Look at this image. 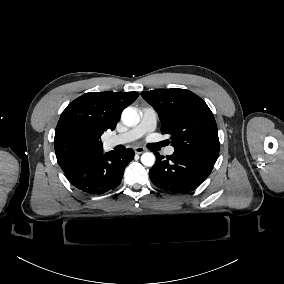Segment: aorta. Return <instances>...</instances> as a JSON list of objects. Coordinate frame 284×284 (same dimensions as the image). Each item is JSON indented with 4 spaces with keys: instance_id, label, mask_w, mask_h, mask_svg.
I'll return each mask as SVG.
<instances>
[{
    "instance_id": "aorta-1",
    "label": "aorta",
    "mask_w": 284,
    "mask_h": 284,
    "mask_svg": "<svg viewBox=\"0 0 284 284\" xmlns=\"http://www.w3.org/2000/svg\"><path fill=\"white\" fill-rule=\"evenodd\" d=\"M121 119L123 124L133 127L139 123L140 116L135 108L127 107L123 110ZM141 162L144 166L152 167L155 164V155L152 152H145L141 156Z\"/></svg>"
}]
</instances>
